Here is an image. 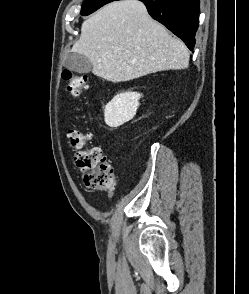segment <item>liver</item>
Here are the masks:
<instances>
[{"mask_svg":"<svg viewBox=\"0 0 249 294\" xmlns=\"http://www.w3.org/2000/svg\"><path fill=\"white\" fill-rule=\"evenodd\" d=\"M86 56L94 75L111 82L165 70L186 69L189 52L152 20L138 0L109 3L85 20L71 49Z\"/></svg>","mask_w":249,"mask_h":294,"instance_id":"liver-1","label":"liver"}]
</instances>
